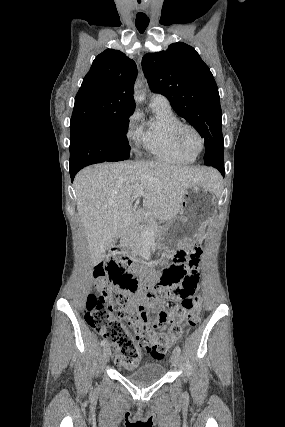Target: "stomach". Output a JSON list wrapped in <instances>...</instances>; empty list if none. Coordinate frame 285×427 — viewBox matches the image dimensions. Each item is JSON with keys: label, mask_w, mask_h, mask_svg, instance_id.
<instances>
[{"label": "stomach", "mask_w": 285, "mask_h": 427, "mask_svg": "<svg viewBox=\"0 0 285 427\" xmlns=\"http://www.w3.org/2000/svg\"><path fill=\"white\" fill-rule=\"evenodd\" d=\"M216 213V192L202 185L191 186L183 196L179 216L165 232L158 234L157 248L169 250L181 240L196 238Z\"/></svg>", "instance_id": "1"}]
</instances>
